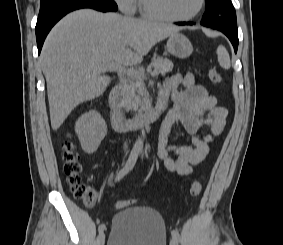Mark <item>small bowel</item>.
I'll return each mask as SVG.
<instances>
[{
  "mask_svg": "<svg viewBox=\"0 0 283 245\" xmlns=\"http://www.w3.org/2000/svg\"><path fill=\"white\" fill-rule=\"evenodd\" d=\"M185 89H180L181 86ZM174 103L162 122L157 156L164 166L179 175H189L209 153V145L226 126L228 110L218 105L217 98L195 82L190 73L169 76L161 89ZM180 125L191 136L192 145H177L172 141L174 126Z\"/></svg>",
  "mask_w": 283,
  "mask_h": 245,
  "instance_id": "1",
  "label": "small bowel"
}]
</instances>
